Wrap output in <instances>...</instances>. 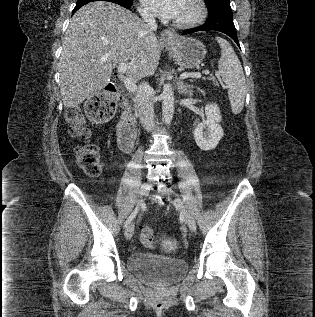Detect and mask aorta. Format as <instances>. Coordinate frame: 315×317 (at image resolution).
<instances>
[{
    "label": "aorta",
    "mask_w": 315,
    "mask_h": 317,
    "mask_svg": "<svg viewBox=\"0 0 315 317\" xmlns=\"http://www.w3.org/2000/svg\"><path fill=\"white\" fill-rule=\"evenodd\" d=\"M162 116L165 124H170L174 114V93L170 84H165L162 92Z\"/></svg>",
    "instance_id": "1"
}]
</instances>
